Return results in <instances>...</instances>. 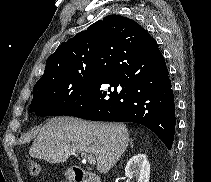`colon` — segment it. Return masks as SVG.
<instances>
[{
	"label": "colon",
	"mask_w": 211,
	"mask_h": 182,
	"mask_svg": "<svg viewBox=\"0 0 211 182\" xmlns=\"http://www.w3.org/2000/svg\"><path fill=\"white\" fill-rule=\"evenodd\" d=\"M29 171L32 175L37 176L40 174L41 167L38 163L31 161L29 163Z\"/></svg>",
	"instance_id": "5ec220e1"
}]
</instances>
